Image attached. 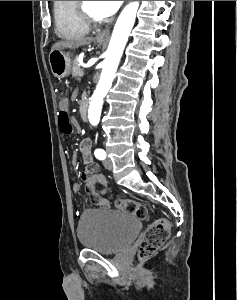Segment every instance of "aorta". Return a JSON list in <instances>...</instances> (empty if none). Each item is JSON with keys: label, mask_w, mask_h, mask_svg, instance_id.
I'll use <instances>...</instances> for the list:
<instances>
[{"label": "aorta", "mask_w": 237, "mask_h": 300, "mask_svg": "<svg viewBox=\"0 0 237 300\" xmlns=\"http://www.w3.org/2000/svg\"><path fill=\"white\" fill-rule=\"evenodd\" d=\"M139 3H130L123 9L119 15L112 37L110 39L109 47L107 49V57L103 63V69L100 81L91 97V103L88 109V119L91 125H98L100 115L103 107V99L106 97L118 69L120 59L123 55L125 45L128 37L133 29L135 23Z\"/></svg>", "instance_id": "aorta-1"}]
</instances>
